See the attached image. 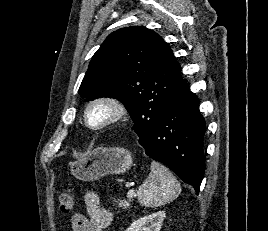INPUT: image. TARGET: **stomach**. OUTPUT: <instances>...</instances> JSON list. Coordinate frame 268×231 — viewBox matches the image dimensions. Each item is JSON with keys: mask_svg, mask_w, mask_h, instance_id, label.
I'll return each instance as SVG.
<instances>
[{"mask_svg": "<svg viewBox=\"0 0 268 231\" xmlns=\"http://www.w3.org/2000/svg\"><path fill=\"white\" fill-rule=\"evenodd\" d=\"M131 153L120 147H98L88 155L70 162L74 177L82 181H94L108 174H122L132 166Z\"/></svg>", "mask_w": 268, "mask_h": 231, "instance_id": "0dacf381", "label": "stomach"}]
</instances>
